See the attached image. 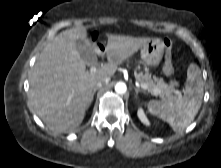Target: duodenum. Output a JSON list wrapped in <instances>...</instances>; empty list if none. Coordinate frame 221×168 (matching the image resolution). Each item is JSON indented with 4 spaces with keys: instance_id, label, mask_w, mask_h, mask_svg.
<instances>
[{
    "instance_id": "obj_1",
    "label": "duodenum",
    "mask_w": 221,
    "mask_h": 168,
    "mask_svg": "<svg viewBox=\"0 0 221 168\" xmlns=\"http://www.w3.org/2000/svg\"><path fill=\"white\" fill-rule=\"evenodd\" d=\"M97 48H98V50H100V51H103V50H104V46H103L101 43H97Z\"/></svg>"
}]
</instances>
